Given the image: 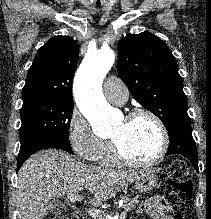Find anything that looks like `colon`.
I'll use <instances>...</instances> for the list:
<instances>
[{
	"label": "colon",
	"mask_w": 211,
	"mask_h": 219,
	"mask_svg": "<svg viewBox=\"0 0 211 219\" xmlns=\"http://www.w3.org/2000/svg\"><path fill=\"white\" fill-rule=\"evenodd\" d=\"M188 166L181 159L173 160L166 169V201L171 207L174 219H184L190 199L191 183L187 179ZM49 219H75L74 214L68 217H50Z\"/></svg>",
	"instance_id": "1"
}]
</instances>
